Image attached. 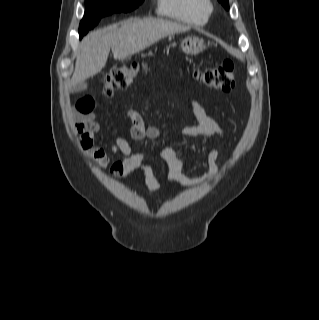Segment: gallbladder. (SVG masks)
I'll return each instance as SVG.
<instances>
[{"label":"gallbladder","instance_id":"gallbladder-1","mask_svg":"<svg viewBox=\"0 0 319 320\" xmlns=\"http://www.w3.org/2000/svg\"><path fill=\"white\" fill-rule=\"evenodd\" d=\"M87 88V84L85 82L77 84L76 86L73 87L72 91L74 92H79L83 91Z\"/></svg>","mask_w":319,"mask_h":320}]
</instances>
